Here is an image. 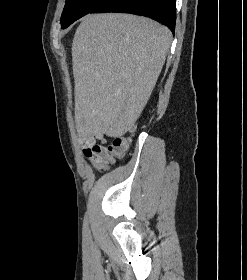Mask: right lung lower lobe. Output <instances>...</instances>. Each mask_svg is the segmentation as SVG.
<instances>
[{
	"label": "right lung lower lobe",
	"mask_w": 247,
	"mask_h": 280,
	"mask_svg": "<svg viewBox=\"0 0 247 280\" xmlns=\"http://www.w3.org/2000/svg\"><path fill=\"white\" fill-rule=\"evenodd\" d=\"M176 0H103L91 13L125 12L152 18L166 25L174 33Z\"/></svg>",
	"instance_id": "98d812e1"
}]
</instances>
